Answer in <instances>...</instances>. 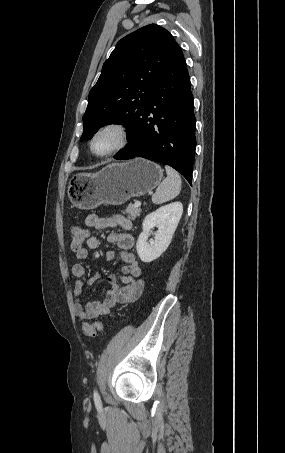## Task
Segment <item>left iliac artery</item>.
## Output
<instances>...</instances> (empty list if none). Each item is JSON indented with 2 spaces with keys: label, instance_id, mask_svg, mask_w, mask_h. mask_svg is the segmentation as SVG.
Here are the masks:
<instances>
[{
  "label": "left iliac artery",
  "instance_id": "left-iliac-artery-1",
  "mask_svg": "<svg viewBox=\"0 0 285 453\" xmlns=\"http://www.w3.org/2000/svg\"><path fill=\"white\" fill-rule=\"evenodd\" d=\"M93 397H94V402H95L96 407L100 409L102 406V403H101V399H100V396H99L97 390H94Z\"/></svg>",
  "mask_w": 285,
  "mask_h": 453
}]
</instances>
